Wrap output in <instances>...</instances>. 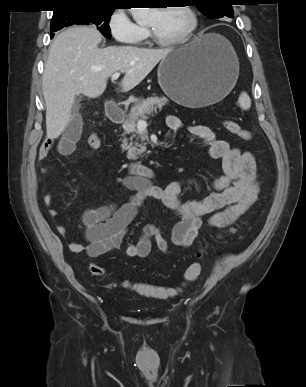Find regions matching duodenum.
I'll list each match as a JSON object with an SVG mask.
<instances>
[{"label": "duodenum", "instance_id": "410a0bca", "mask_svg": "<svg viewBox=\"0 0 306 387\" xmlns=\"http://www.w3.org/2000/svg\"><path fill=\"white\" fill-rule=\"evenodd\" d=\"M107 117L113 123H120L124 118L123 110L114 103H109L106 107ZM130 170L139 176L151 177L153 176V171L146 165L133 163L130 165Z\"/></svg>", "mask_w": 306, "mask_h": 387}]
</instances>
